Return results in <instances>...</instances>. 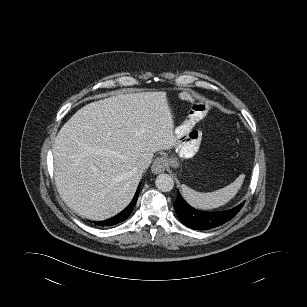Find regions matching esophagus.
<instances>
[{
    "label": "esophagus",
    "instance_id": "esophagus-1",
    "mask_svg": "<svg viewBox=\"0 0 307 307\" xmlns=\"http://www.w3.org/2000/svg\"><path fill=\"white\" fill-rule=\"evenodd\" d=\"M167 167V160L165 157H157L151 167V170L154 174H159L165 171Z\"/></svg>",
    "mask_w": 307,
    "mask_h": 307
}]
</instances>
